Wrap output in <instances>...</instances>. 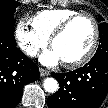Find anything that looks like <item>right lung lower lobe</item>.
<instances>
[{
    "label": "right lung lower lobe",
    "instance_id": "obj_1",
    "mask_svg": "<svg viewBox=\"0 0 108 108\" xmlns=\"http://www.w3.org/2000/svg\"><path fill=\"white\" fill-rule=\"evenodd\" d=\"M39 75L34 62L16 47L14 35L0 30V108H15L24 85Z\"/></svg>",
    "mask_w": 108,
    "mask_h": 108
}]
</instances>
